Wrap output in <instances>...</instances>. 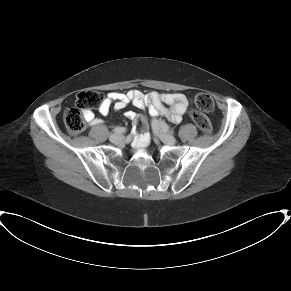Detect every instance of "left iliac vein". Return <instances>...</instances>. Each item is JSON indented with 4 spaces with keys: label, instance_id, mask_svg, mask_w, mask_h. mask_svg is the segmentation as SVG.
I'll use <instances>...</instances> for the list:
<instances>
[{
    "label": "left iliac vein",
    "instance_id": "obj_1",
    "mask_svg": "<svg viewBox=\"0 0 291 291\" xmlns=\"http://www.w3.org/2000/svg\"><path fill=\"white\" fill-rule=\"evenodd\" d=\"M154 133L159 137V139L168 145H174L176 143V139L171 134L165 132L162 129L159 123L153 124Z\"/></svg>",
    "mask_w": 291,
    "mask_h": 291
}]
</instances>
